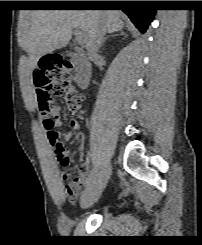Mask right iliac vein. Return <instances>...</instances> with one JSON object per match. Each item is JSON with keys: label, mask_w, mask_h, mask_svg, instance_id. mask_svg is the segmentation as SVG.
<instances>
[{"label": "right iliac vein", "mask_w": 202, "mask_h": 245, "mask_svg": "<svg viewBox=\"0 0 202 245\" xmlns=\"http://www.w3.org/2000/svg\"><path fill=\"white\" fill-rule=\"evenodd\" d=\"M111 174V165L107 164L104 171L82 193L81 206L88 208L93 205L100 195Z\"/></svg>", "instance_id": "63e3f726"}]
</instances>
